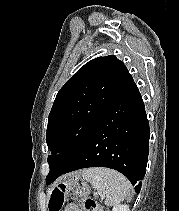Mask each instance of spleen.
I'll return each instance as SVG.
<instances>
[{"mask_svg": "<svg viewBox=\"0 0 179 211\" xmlns=\"http://www.w3.org/2000/svg\"><path fill=\"white\" fill-rule=\"evenodd\" d=\"M82 177L98 194L105 195V205L117 206L131 194V184L121 173L109 168H88Z\"/></svg>", "mask_w": 179, "mask_h": 211, "instance_id": "3e777b00", "label": "spleen"}]
</instances>
